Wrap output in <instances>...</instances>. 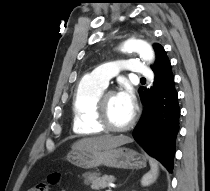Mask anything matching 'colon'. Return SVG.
<instances>
[{
  "mask_svg": "<svg viewBox=\"0 0 210 191\" xmlns=\"http://www.w3.org/2000/svg\"><path fill=\"white\" fill-rule=\"evenodd\" d=\"M59 173H52L48 176L47 183L38 184L29 189V191H49L50 186L56 185L60 181Z\"/></svg>",
  "mask_w": 210,
  "mask_h": 191,
  "instance_id": "obj_1",
  "label": "colon"
}]
</instances>
